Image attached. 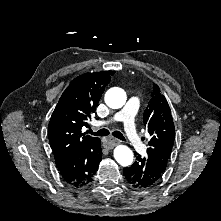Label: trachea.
<instances>
[{
  "instance_id": "1",
  "label": "trachea",
  "mask_w": 221,
  "mask_h": 221,
  "mask_svg": "<svg viewBox=\"0 0 221 221\" xmlns=\"http://www.w3.org/2000/svg\"><path fill=\"white\" fill-rule=\"evenodd\" d=\"M88 133L100 137L109 135V131L107 129H101L98 132H93L92 130H88ZM112 135L120 140L126 141L125 137L119 131H114Z\"/></svg>"
}]
</instances>
